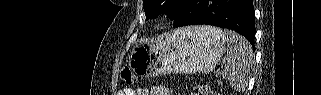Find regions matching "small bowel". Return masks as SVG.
Masks as SVG:
<instances>
[{
  "mask_svg": "<svg viewBox=\"0 0 321 95\" xmlns=\"http://www.w3.org/2000/svg\"><path fill=\"white\" fill-rule=\"evenodd\" d=\"M124 92L127 95H173V92L163 85H157L152 88L151 91L146 89H138L136 91L132 89H125Z\"/></svg>",
  "mask_w": 321,
  "mask_h": 95,
  "instance_id": "obj_1",
  "label": "small bowel"
}]
</instances>
